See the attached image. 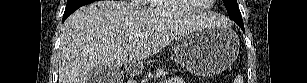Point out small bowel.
Returning a JSON list of instances; mask_svg holds the SVG:
<instances>
[{
  "instance_id": "small-bowel-1",
  "label": "small bowel",
  "mask_w": 307,
  "mask_h": 83,
  "mask_svg": "<svg viewBox=\"0 0 307 83\" xmlns=\"http://www.w3.org/2000/svg\"><path fill=\"white\" fill-rule=\"evenodd\" d=\"M168 83H184V81L179 77H173L168 81Z\"/></svg>"
}]
</instances>
